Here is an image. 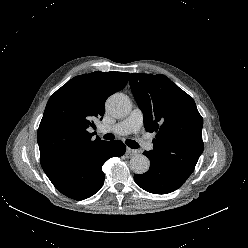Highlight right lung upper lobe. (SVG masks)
Returning a JSON list of instances; mask_svg holds the SVG:
<instances>
[{"instance_id":"1","label":"right lung upper lobe","mask_w":248,"mask_h":248,"mask_svg":"<svg viewBox=\"0 0 248 248\" xmlns=\"http://www.w3.org/2000/svg\"><path fill=\"white\" fill-rule=\"evenodd\" d=\"M128 79L125 72L83 74L50 97L37 133L41 166L48 177L75 153L104 142L87 130L104 115L107 97L121 90Z\"/></svg>"}]
</instances>
